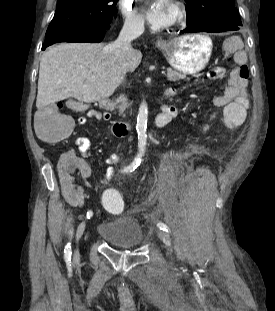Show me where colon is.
I'll use <instances>...</instances> for the list:
<instances>
[{
  "instance_id": "5ec220e1",
  "label": "colon",
  "mask_w": 275,
  "mask_h": 311,
  "mask_svg": "<svg viewBox=\"0 0 275 311\" xmlns=\"http://www.w3.org/2000/svg\"><path fill=\"white\" fill-rule=\"evenodd\" d=\"M243 78L248 77V69L242 66L239 70ZM78 102H71L68 107L73 109ZM225 130H235L237 119L224 118ZM73 119L66 114L60 113L56 107L50 106L47 109L39 112L36 117V134L37 136L47 142H58L67 138L72 131ZM101 197H103V204L109 212H118L122 209V199L120 197V190H101Z\"/></svg>"
}]
</instances>
